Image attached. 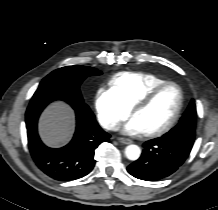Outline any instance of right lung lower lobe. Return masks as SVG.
I'll return each mask as SVG.
<instances>
[{
  "mask_svg": "<svg viewBox=\"0 0 218 210\" xmlns=\"http://www.w3.org/2000/svg\"><path fill=\"white\" fill-rule=\"evenodd\" d=\"M63 100L76 112V131L69 144L62 148H49L42 143L37 131L38 118L52 101ZM28 146L38 168L49 177L69 181L84 177L95 165L94 154L98 145L108 141L95 116L83 101L53 96L32 97L26 111Z\"/></svg>",
  "mask_w": 218,
  "mask_h": 210,
  "instance_id": "98d812e1",
  "label": "right lung lower lobe"
}]
</instances>
